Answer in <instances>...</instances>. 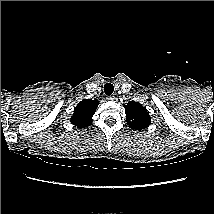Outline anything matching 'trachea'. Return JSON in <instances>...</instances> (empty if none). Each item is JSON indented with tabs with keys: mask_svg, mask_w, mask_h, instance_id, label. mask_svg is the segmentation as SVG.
Listing matches in <instances>:
<instances>
[{
	"mask_svg": "<svg viewBox=\"0 0 214 214\" xmlns=\"http://www.w3.org/2000/svg\"><path fill=\"white\" fill-rule=\"evenodd\" d=\"M104 92L106 95H111L114 92V86L111 83H107L104 87Z\"/></svg>",
	"mask_w": 214,
	"mask_h": 214,
	"instance_id": "obj_1",
	"label": "trachea"
}]
</instances>
